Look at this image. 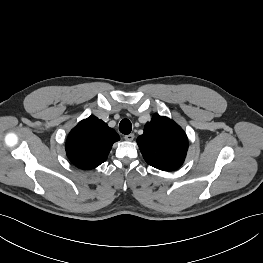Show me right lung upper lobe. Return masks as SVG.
Returning a JSON list of instances; mask_svg holds the SVG:
<instances>
[{"label": "right lung upper lobe", "instance_id": "1", "mask_svg": "<svg viewBox=\"0 0 263 263\" xmlns=\"http://www.w3.org/2000/svg\"><path fill=\"white\" fill-rule=\"evenodd\" d=\"M119 139L114 129L97 117L90 116L69 133L66 153L77 167L93 169L106 161L113 143Z\"/></svg>", "mask_w": 263, "mask_h": 263}]
</instances>
